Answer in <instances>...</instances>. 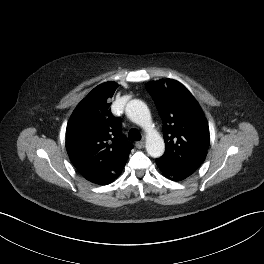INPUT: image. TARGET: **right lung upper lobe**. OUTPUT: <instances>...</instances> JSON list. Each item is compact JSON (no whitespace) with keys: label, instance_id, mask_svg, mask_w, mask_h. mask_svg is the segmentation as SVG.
Wrapping results in <instances>:
<instances>
[{"label":"right lung upper lobe","instance_id":"right-lung-upper-lobe-1","mask_svg":"<svg viewBox=\"0 0 264 264\" xmlns=\"http://www.w3.org/2000/svg\"><path fill=\"white\" fill-rule=\"evenodd\" d=\"M116 87L115 82H106L94 88L68 121L66 149L77 169L114 173L124 168L133 146L120 135V120L110 110Z\"/></svg>","mask_w":264,"mask_h":264}]
</instances>
